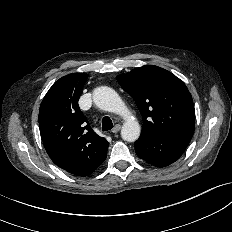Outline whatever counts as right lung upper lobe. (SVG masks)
<instances>
[{
  "label": "right lung upper lobe",
  "instance_id": "right-lung-upper-lobe-1",
  "mask_svg": "<svg viewBox=\"0 0 232 232\" xmlns=\"http://www.w3.org/2000/svg\"><path fill=\"white\" fill-rule=\"evenodd\" d=\"M87 74H70L49 89L39 109V127L47 154L60 168L88 176L106 159L109 146L80 111L78 100Z\"/></svg>",
  "mask_w": 232,
  "mask_h": 232
}]
</instances>
